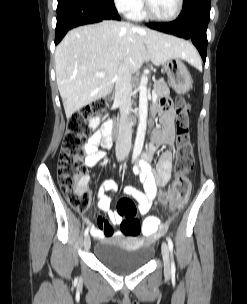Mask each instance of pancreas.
<instances>
[{"label": "pancreas", "mask_w": 247, "mask_h": 304, "mask_svg": "<svg viewBox=\"0 0 247 304\" xmlns=\"http://www.w3.org/2000/svg\"><path fill=\"white\" fill-rule=\"evenodd\" d=\"M153 92L158 98L166 97L170 95V90L167 83L164 80H158L154 82Z\"/></svg>", "instance_id": "1"}]
</instances>
